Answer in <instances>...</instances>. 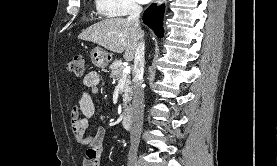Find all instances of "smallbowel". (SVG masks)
<instances>
[{
    "label": "small bowel",
    "mask_w": 277,
    "mask_h": 166,
    "mask_svg": "<svg viewBox=\"0 0 277 166\" xmlns=\"http://www.w3.org/2000/svg\"><path fill=\"white\" fill-rule=\"evenodd\" d=\"M100 77L97 72H89L83 78L84 90L77 105L70 110L71 130L74 140L83 155L82 166H100L103 140L106 129L98 127L94 134L86 135L89 119L95 113L92 95L98 92Z\"/></svg>",
    "instance_id": "1"
}]
</instances>
